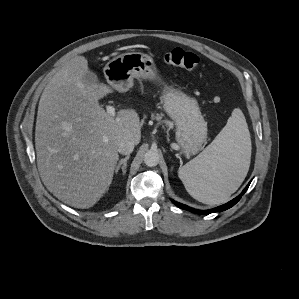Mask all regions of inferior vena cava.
Wrapping results in <instances>:
<instances>
[{"label":"inferior vena cava","mask_w":299,"mask_h":299,"mask_svg":"<svg viewBox=\"0 0 299 299\" xmlns=\"http://www.w3.org/2000/svg\"><path fill=\"white\" fill-rule=\"evenodd\" d=\"M135 143L130 140H122L118 144L117 151L122 155H129L134 149Z\"/></svg>","instance_id":"inferior-vena-cava-1"}]
</instances>
